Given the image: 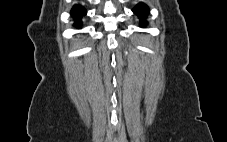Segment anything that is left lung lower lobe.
Instances as JSON below:
<instances>
[{
	"label": "left lung lower lobe",
	"mask_w": 227,
	"mask_h": 142,
	"mask_svg": "<svg viewBox=\"0 0 227 142\" xmlns=\"http://www.w3.org/2000/svg\"><path fill=\"white\" fill-rule=\"evenodd\" d=\"M142 21V25L144 26L146 24L145 17L149 13V8L146 4L144 3H139L136 5L133 10H132Z\"/></svg>",
	"instance_id": "1"
}]
</instances>
